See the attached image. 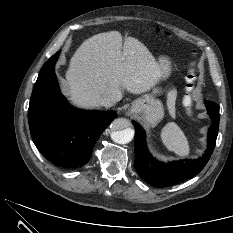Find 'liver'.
Listing matches in <instances>:
<instances>
[{"instance_id": "1", "label": "liver", "mask_w": 233, "mask_h": 233, "mask_svg": "<svg viewBox=\"0 0 233 233\" xmlns=\"http://www.w3.org/2000/svg\"><path fill=\"white\" fill-rule=\"evenodd\" d=\"M159 78V64L143 43L134 37H127L122 43V35L110 31L81 44L70 60L65 85L75 105L96 108L106 96L120 101L123 89L133 94L144 93ZM174 99L172 90L169 103Z\"/></svg>"}]
</instances>
